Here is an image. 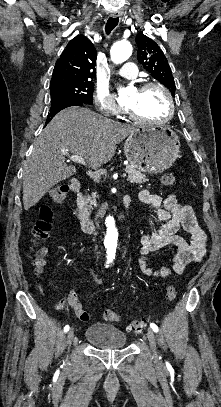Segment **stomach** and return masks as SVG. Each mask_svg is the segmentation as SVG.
I'll list each match as a JSON object with an SVG mask.
<instances>
[{
    "instance_id": "stomach-1",
    "label": "stomach",
    "mask_w": 221,
    "mask_h": 407,
    "mask_svg": "<svg viewBox=\"0 0 221 407\" xmlns=\"http://www.w3.org/2000/svg\"><path fill=\"white\" fill-rule=\"evenodd\" d=\"M180 141L170 127H137L126 139L124 152L136 169L157 174L170 168L178 157Z\"/></svg>"
}]
</instances>
